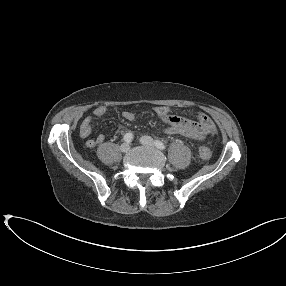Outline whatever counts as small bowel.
Instances as JSON below:
<instances>
[{
    "label": "small bowel",
    "instance_id": "c3829d8e",
    "mask_svg": "<svg viewBox=\"0 0 286 286\" xmlns=\"http://www.w3.org/2000/svg\"><path fill=\"white\" fill-rule=\"evenodd\" d=\"M155 113L160 118L163 130L169 135H178L194 141H201L207 135L215 130V125L211 118L205 113H198L195 119H188L182 116L171 113L167 106H156ZM107 108L104 105H99L93 110V116L102 117L106 114ZM122 116L127 121H133L135 115L131 111H124ZM124 131V128H121ZM92 132V117L86 116L80 124V136L88 138L86 141L87 148H94L105 140L103 134H99L96 138H89Z\"/></svg>",
    "mask_w": 286,
    "mask_h": 286
}]
</instances>
